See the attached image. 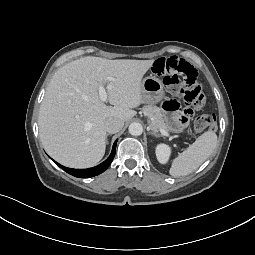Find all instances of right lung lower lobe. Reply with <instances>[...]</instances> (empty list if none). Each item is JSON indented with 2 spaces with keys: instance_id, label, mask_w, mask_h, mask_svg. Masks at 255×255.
<instances>
[{
  "instance_id": "right-lung-lower-lobe-1",
  "label": "right lung lower lobe",
  "mask_w": 255,
  "mask_h": 255,
  "mask_svg": "<svg viewBox=\"0 0 255 255\" xmlns=\"http://www.w3.org/2000/svg\"><path fill=\"white\" fill-rule=\"evenodd\" d=\"M116 143L117 140L115 141L114 145H113V149L111 152V155L109 156V158L107 160H105L103 163L99 164L98 166L92 167V168H88V169H72V168H66L62 165H60L59 163L55 162L60 168H62L64 171H66L67 173L78 177V178H89V177H93L96 175L101 174L102 172H104L108 166L111 164V162L113 161V158L115 156V150H116Z\"/></svg>"
}]
</instances>
